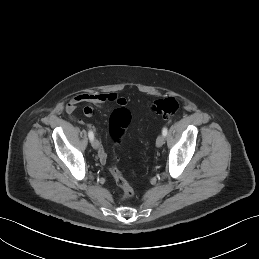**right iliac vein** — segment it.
I'll list each match as a JSON object with an SVG mask.
<instances>
[{"label": "right iliac vein", "mask_w": 259, "mask_h": 259, "mask_svg": "<svg viewBox=\"0 0 259 259\" xmlns=\"http://www.w3.org/2000/svg\"><path fill=\"white\" fill-rule=\"evenodd\" d=\"M91 144H92V147H93L94 149H98V147H99V142H98V140L93 139L92 142H91Z\"/></svg>", "instance_id": "obj_1"}]
</instances>
